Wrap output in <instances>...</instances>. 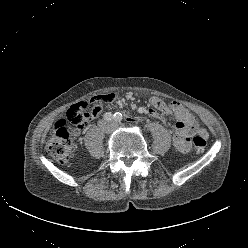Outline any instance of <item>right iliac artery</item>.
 Returning a JSON list of instances; mask_svg holds the SVG:
<instances>
[{"label":"right iliac artery","instance_id":"obj_1","mask_svg":"<svg viewBox=\"0 0 248 248\" xmlns=\"http://www.w3.org/2000/svg\"><path fill=\"white\" fill-rule=\"evenodd\" d=\"M104 120L111 121L114 118V115L111 112H107L104 114Z\"/></svg>","mask_w":248,"mask_h":248}]
</instances>
